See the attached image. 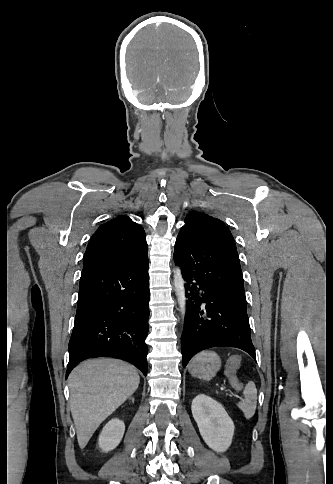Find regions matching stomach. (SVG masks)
I'll use <instances>...</instances> for the list:
<instances>
[{
	"mask_svg": "<svg viewBox=\"0 0 333 484\" xmlns=\"http://www.w3.org/2000/svg\"><path fill=\"white\" fill-rule=\"evenodd\" d=\"M221 367L219 356L212 351H203L193 358L188 366L192 376L211 380Z\"/></svg>",
	"mask_w": 333,
	"mask_h": 484,
	"instance_id": "obj_1",
	"label": "stomach"
}]
</instances>
